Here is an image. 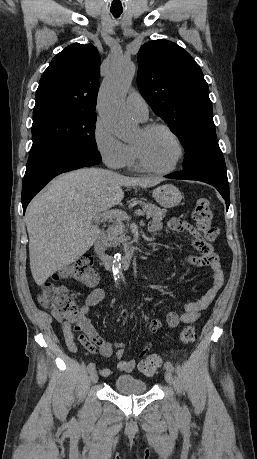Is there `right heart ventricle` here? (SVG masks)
<instances>
[{
  "label": "right heart ventricle",
  "instance_id": "right-heart-ventricle-1",
  "mask_svg": "<svg viewBox=\"0 0 257 459\" xmlns=\"http://www.w3.org/2000/svg\"><path fill=\"white\" fill-rule=\"evenodd\" d=\"M128 146H129V151H130V157H129V160H128L126 166H128L130 169H132L134 171H142L143 168L140 166V164H139V162L137 160L136 153H135L133 145H128Z\"/></svg>",
  "mask_w": 257,
  "mask_h": 459
}]
</instances>
